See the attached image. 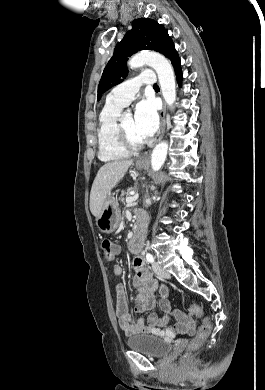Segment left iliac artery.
Segmentation results:
<instances>
[{"instance_id":"obj_1","label":"left iliac artery","mask_w":265,"mask_h":390,"mask_svg":"<svg viewBox=\"0 0 265 390\" xmlns=\"http://www.w3.org/2000/svg\"><path fill=\"white\" fill-rule=\"evenodd\" d=\"M146 259L150 263L154 262V257H153V255L151 253H147L146 254Z\"/></svg>"}]
</instances>
